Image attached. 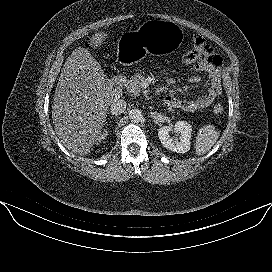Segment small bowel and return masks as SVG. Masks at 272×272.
I'll list each match as a JSON object with an SVG mask.
<instances>
[{"instance_id": "1", "label": "small bowel", "mask_w": 272, "mask_h": 272, "mask_svg": "<svg viewBox=\"0 0 272 272\" xmlns=\"http://www.w3.org/2000/svg\"><path fill=\"white\" fill-rule=\"evenodd\" d=\"M195 49L201 51V57L193 65L192 70L197 73L207 74L209 77L208 90L193 99H181L174 95L165 98V103L173 108L193 112L211 105L221 93V57L212 47L200 36L193 39Z\"/></svg>"}]
</instances>
